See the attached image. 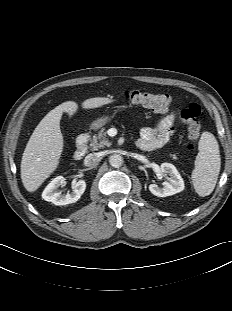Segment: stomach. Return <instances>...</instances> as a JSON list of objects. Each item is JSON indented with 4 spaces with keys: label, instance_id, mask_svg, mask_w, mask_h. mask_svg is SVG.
<instances>
[{
    "label": "stomach",
    "instance_id": "0dacf381",
    "mask_svg": "<svg viewBox=\"0 0 232 311\" xmlns=\"http://www.w3.org/2000/svg\"><path fill=\"white\" fill-rule=\"evenodd\" d=\"M107 121H108V117H101V118H98V119H96L95 121H93L92 123H91V129H94V130H96V129H99V128H101L103 125H105L106 123H107Z\"/></svg>",
    "mask_w": 232,
    "mask_h": 311
}]
</instances>
